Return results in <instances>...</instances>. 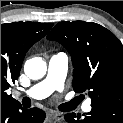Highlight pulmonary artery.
Returning <instances> with one entry per match:
<instances>
[{"label": "pulmonary artery", "instance_id": "1", "mask_svg": "<svg viewBox=\"0 0 123 123\" xmlns=\"http://www.w3.org/2000/svg\"><path fill=\"white\" fill-rule=\"evenodd\" d=\"M68 68V56L65 53L53 55L48 64L46 77L33 85L22 94L32 99H43L56 90H62ZM83 110L89 112L91 110L90 101L83 105Z\"/></svg>", "mask_w": 123, "mask_h": 123}]
</instances>
